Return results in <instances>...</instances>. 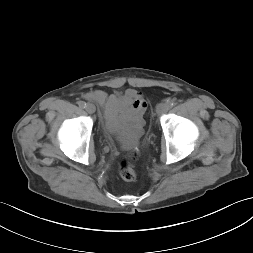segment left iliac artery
<instances>
[{
  "label": "left iliac artery",
  "mask_w": 253,
  "mask_h": 253,
  "mask_svg": "<svg viewBox=\"0 0 253 253\" xmlns=\"http://www.w3.org/2000/svg\"><path fill=\"white\" fill-rule=\"evenodd\" d=\"M167 104L169 107H173L176 104V102H175V100H169V101H167Z\"/></svg>",
  "instance_id": "obj_1"
}]
</instances>
